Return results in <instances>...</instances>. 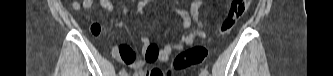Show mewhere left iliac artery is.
Returning <instances> with one entry per match:
<instances>
[{"instance_id": "1", "label": "left iliac artery", "mask_w": 333, "mask_h": 76, "mask_svg": "<svg viewBox=\"0 0 333 76\" xmlns=\"http://www.w3.org/2000/svg\"><path fill=\"white\" fill-rule=\"evenodd\" d=\"M201 75H202V76H207V75H208V71H207L206 69H203V70L201 71Z\"/></svg>"}]
</instances>
